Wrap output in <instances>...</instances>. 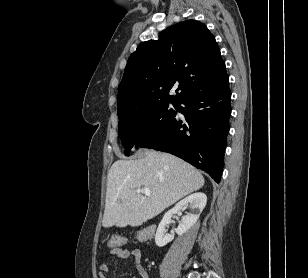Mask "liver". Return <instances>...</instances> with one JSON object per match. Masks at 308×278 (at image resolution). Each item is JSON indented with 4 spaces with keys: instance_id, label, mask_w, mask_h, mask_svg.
<instances>
[{
    "instance_id": "obj_1",
    "label": "liver",
    "mask_w": 308,
    "mask_h": 278,
    "mask_svg": "<svg viewBox=\"0 0 308 278\" xmlns=\"http://www.w3.org/2000/svg\"><path fill=\"white\" fill-rule=\"evenodd\" d=\"M141 155L111 166L103 227L140 226L205 183L198 170L174 155L155 150ZM141 187L149 188L151 195L136 192Z\"/></svg>"
}]
</instances>
